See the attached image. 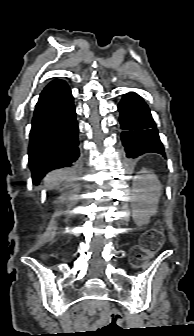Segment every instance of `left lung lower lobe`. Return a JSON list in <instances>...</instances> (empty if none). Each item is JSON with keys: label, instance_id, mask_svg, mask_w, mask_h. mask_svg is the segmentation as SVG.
Masks as SVG:
<instances>
[{"label": "left lung lower lobe", "instance_id": "0a47b994", "mask_svg": "<svg viewBox=\"0 0 194 336\" xmlns=\"http://www.w3.org/2000/svg\"><path fill=\"white\" fill-rule=\"evenodd\" d=\"M121 135L127 158L153 152L165 157L155 122L143 99L136 93H127L118 105Z\"/></svg>", "mask_w": 194, "mask_h": 336}]
</instances>
